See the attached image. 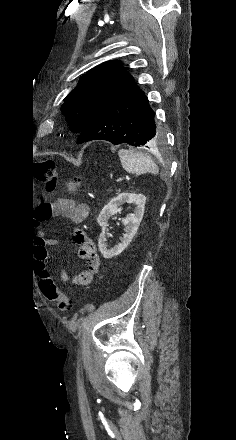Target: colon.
<instances>
[{
  "mask_svg": "<svg viewBox=\"0 0 236 440\" xmlns=\"http://www.w3.org/2000/svg\"><path fill=\"white\" fill-rule=\"evenodd\" d=\"M36 176L46 190L53 191L56 188L58 180L56 163L52 159L42 160L38 165ZM87 183V179L75 177L66 182V187L69 191L75 192ZM40 290L49 301L57 305L59 310L67 311L70 309V300L68 296L53 283L47 274L40 282Z\"/></svg>",
  "mask_w": 236,
  "mask_h": 440,
  "instance_id": "1",
  "label": "colon"
}]
</instances>
